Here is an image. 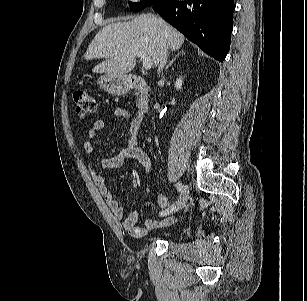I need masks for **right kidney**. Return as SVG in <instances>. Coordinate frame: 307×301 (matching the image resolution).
<instances>
[{
    "instance_id": "ca27d5eb",
    "label": "right kidney",
    "mask_w": 307,
    "mask_h": 301,
    "mask_svg": "<svg viewBox=\"0 0 307 301\" xmlns=\"http://www.w3.org/2000/svg\"><path fill=\"white\" fill-rule=\"evenodd\" d=\"M182 83H183V78L182 77H179V78L176 79L175 84H174L176 90H180L181 89Z\"/></svg>"
}]
</instances>
